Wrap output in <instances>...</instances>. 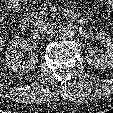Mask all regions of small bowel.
<instances>
[{"instance_id": "c3829d8e", "label": "small bowel", "mask_w": 113, "mask_h": 113, "mask_svg": "<svg viewBox=\"0 0 113 113\" xmlns=\"http://www.w3.org/2000/svg\"><path fill=\"white\" fill-rule=\"evenodd\" d=\"M108 3L112 6L113 8V0H108Z\"/></svg>"}]
</instances>
